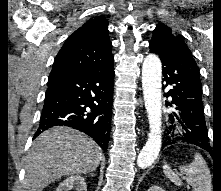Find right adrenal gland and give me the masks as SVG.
Wrapping results in <instances>:
<instances>
[{
	"instance_id": "2a0ac1e0",
	"label": "right adrenal gland",
	"mask_w": 221,
	"mask_h": 191,
	"mask_svg": "<svg viewBox=\"0 0 221 191\" xmlns=\"http://www.w3.org/2000/svg\"><path fill=\"white\" fill-rule=\"evenodd\" d=\"M89 175H91V176H95V174H94L93 172H90Z\"/></svg>"
}]
</instances>
